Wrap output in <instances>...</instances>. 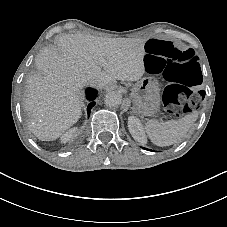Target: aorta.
Here are the masks:
<instances>
[{
	"label": "aorta",
	"mask_w": 227,
	"mask_h": 227,
	"mask_svg": "<svg viewBox=\"0 0 227 227\" xmlns=\"http://www.w3.org/2000/svg\"><path fill=\"white\" fill-rule=\"evenodd\" d=\"M105 105L108 107H115L122 103V95L117 91H109L104 97Z\"/></svg>",
	"instance_id": "aorta-1"
}]
</instances>
